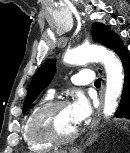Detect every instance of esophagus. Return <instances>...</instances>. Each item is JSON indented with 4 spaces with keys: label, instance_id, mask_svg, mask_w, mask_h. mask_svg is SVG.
<instances>
[{
    "label": "esophagus",
    "instance_id": "34e87169",
    "mask_svg": "<svg viewBox=\"0 0 130 153\" xmlns=\"http://www.w3.org/2000/svg\"><path fill=\"white\" fill-rule=\"evenodd\" d=\"M103 104H104V87L102 88V90L100 92V104H99V107H98V109L96 111V114H95V117L93 119V122L91 124V129H94L97 126V124L99 123V121H100ZM74 152H76V151H74Z\"/></svg>",
    "mask_w": 130,
    "mask_h": 153
}]
</instances>
